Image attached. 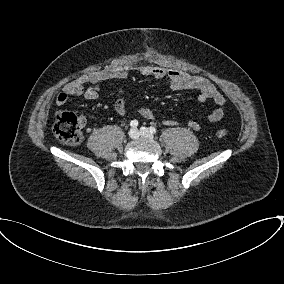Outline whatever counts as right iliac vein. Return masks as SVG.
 <instances>
[{
	"instance_id": "obj_1",
	"label": "right iliac vein",
	"mask_w": 284,
	"mask_h": 284,
	"mask_svg": "<svg viewBox=\"0 0 284 284\" xmlns=\"http://www.w3.org/2000/svg\"><path fill=\"white\" fill-rule=\"evenodd\" d=\"M129 137H130L131 139H137V138L139 137V132H138V130H137L136 128L130 129V131H129Z\"/></svg>"
}]
</instances>
